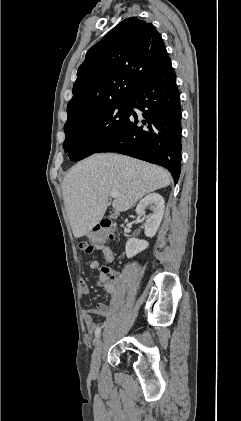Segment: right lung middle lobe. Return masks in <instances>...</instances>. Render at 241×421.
<instances>
[{"label": "right lung middle lobe", "mask_w": 241, "mask_h": 421, "mask_svg": "<svg viewBox=\"0 0 241 421\" xmlns=\"http://www.w3.org/2000/svg\"><path fill=\"white\" fill-rule=\"evenodd\" d=\"M129 117L128 100L114 103L67 127L65 152L73 161L82 160L96 153L109 142L126 124Z\"/></svg>", "instance_id": "right-lung-middle-lobe-1"}]
</instances>
